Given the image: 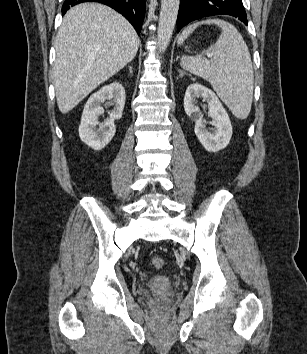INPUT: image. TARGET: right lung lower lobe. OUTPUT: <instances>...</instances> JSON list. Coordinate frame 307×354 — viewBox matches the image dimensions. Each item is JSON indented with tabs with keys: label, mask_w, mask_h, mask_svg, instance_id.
Instances as JSON below:
<instances>
[{
	"label": "right lung lower lobe",
	"mask_w": 307,
	"mask_h": 354,
	"mask_svg": "<svg viewBox=\"0 0 307 354\" xmlns=\"http://www.w3.org/2000/svg\"><path fill=\"white\" fill-rule=\"evenodd\" d=\"M99 2L110 6L121 13L140 34L145 15V0H65L62 6V14L78 3Z\"/></svg>",
	"instance_id": "right-lung-lower-lobe-1"
}]
</instances>
